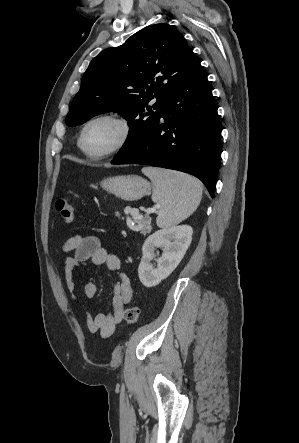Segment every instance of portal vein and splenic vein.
<instances>
[{"label":"portal vein and splenic vein","mask_w":299,"mask_h":443,"mask_svg":"<svg viewBox=\"0 0 299 443\" xmlns=\"http://www.w3.org/2000/svg\"><path fill=\"white\" fill-rule=\"evenodd\" d=\"M155 211H156V208H153V209L149 210V211L147 212V214L154 213Z\"/></svg>","instance_id":"1"}]
</instances>
